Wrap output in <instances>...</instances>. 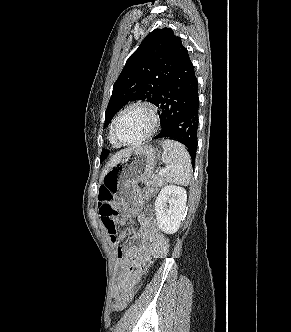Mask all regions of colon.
I'll list each match as a JSON object with an SVG mask.
<instances>
[{"label": "colon", "instance_id": "colon-1", "mask_svg": "<svg viewBox=\"0 0 291 332\" xmlns=\"http://www.w3.org/2000/svg\"><path fill=\"white\" fill-rule=\"evenodd\" d=\"M151 189L146 190V195L151 193ZM98 206L103 225L105 226L112 242H117L122 238V231L119 230L117 224L118 210L115 207L112 193L106 189L101 188L98 196ZM135 293V287H132L127 292L123 293L114 303L113 309L121 311L127 307L132 300Z\"/></svg>", "mask_w": 291, "mask_h": 332}]
</instances>
